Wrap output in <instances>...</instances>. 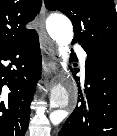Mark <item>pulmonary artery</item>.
<instances>
[{
	"label": "pulmonary artery",
	"instance_id": "e3ab8cb5",
	"mask_svg": "<svg viewBox=\"0 0 117 136\" xmlns=\"http://www.w3.org/2000/svg\"><path fill=\"white\" fill-rule=\"evenodd\" d=\"M76 51L78 53V56H79V59H80L81 65H82V69L84 70L85 69L86 52L82 48H79V47L76 48Z\"/></svg>",
	"mask_w": 117,
	"mask_h": 136
}]
</instances>
